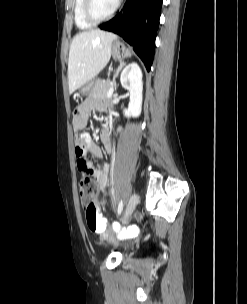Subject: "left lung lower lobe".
Wrapping results in <instances>:
<instances>
[{
	"mask_svg": "<svg viewBox=\"0 0 247 304\" xmlns=\"http://www.w3.org/2000/svg\"><path fill=\"white\" fill-rule=\"evenodd\" d=\"M162 2L163 0H127L119 14L100 25L101 29L120 35L133 46L147 71L153 62Z\"/></svg>",
	"mask_w": 247,
	"mask_h": 304,
	"instance_id": "1",
	"label": "left lung lower lobe"
}]
</instances>
